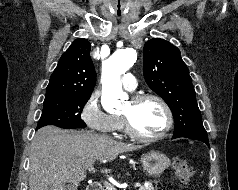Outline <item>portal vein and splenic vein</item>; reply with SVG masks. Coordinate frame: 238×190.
I'll list each match as a JSON object with an SVG mask.
<instances>
[{
  "mask_svg": "<svg viewBox=\"0 0 238 190\" xmlns=\"http://www.w3.org/2000/svg\"><path fill=\"white\" fill-rule=\"evenodd\" d=\"M88 170H89L91 173H93V172H94V168H93V167L89 168ZM106 186L113 187V186H112V185H110L109 183H106ZM134 187H135V188L141 187V184H140V183H135ZM112 190H117V189L113 187V189H112Z\"/></svg>",
  "mask_w": 238,
  "mask_h": 190,
  "instance_id": "18ae733b",
  "label": "portal vein and splenic vein"
}]
</instances>
